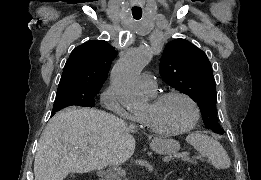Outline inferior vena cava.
<instances>
[{
    "mask_svg": "<svg viewBox=\"0 0 261 180\" xmlns=\"http://www.w3.org/2000/svg\"><path fill=\"white\" fill-rule=\"evenodd\" d=\"M126 160H120L119 164H125Z\"/></svg>",
    "mask_w": 261,
    "mask_h": 180,
    "instance_id": "inferior-vena-cava-1",
    "label": "inferior vena cava"
}]
</instances>
